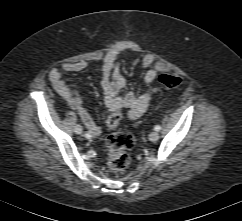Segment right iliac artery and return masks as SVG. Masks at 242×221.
<instances>
[{"label":"right iliac artery","instance_id":"82829eb1","mask_svg":"<svg viewBox=\"0 0 242 221\" xmlns=\"http://www.w3.org/2000/svg\"><path fill=\"white\" fill-rule=\"evenodd\" d=\"M85 137H86V138H90V137H91L90 133L86 132V133H85Z\"/></svg>","mask_w":242,"mask_h":221}]
</instances>
